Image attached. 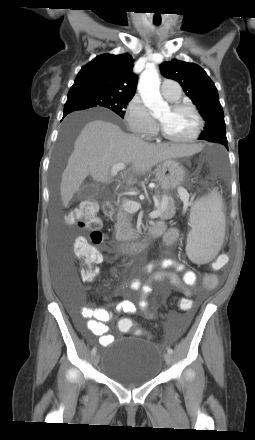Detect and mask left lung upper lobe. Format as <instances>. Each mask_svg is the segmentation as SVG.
<instances>
[{
	"instance_id": "left-lung-upper-lobe-1",
	"label": "left lung upper lobe",
	"mask_w": 255,
	"mask_h": 440,
	"mask_svg": "<svg viewBox=\"0 0 255 440\" xmlns=\"http://www.w3.org/2000/svg\"><path fill=\"white\" fill-rule=\"evenodd\" d=\"M162 74L176 80L204 118L206 125L199 139L228 145L224 113L217 89L206 72L197 64L172 60L160 66Z\"/></svg>"
}]
</instances>
